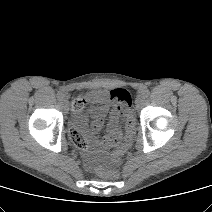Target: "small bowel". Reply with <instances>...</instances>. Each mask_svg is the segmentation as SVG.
I'll list each match as a JSON object with an SVG mask.
<instances>
[{"instance_id":"1","label":"small bowel","mask_w":212,"mask_h":212,"mask_svg":"<svg viewBox=\"0 0 212 212\" xmlns=\"http://www.w3.org/2000/svg\"><path fill=\"white\" fill-rule=\"evenodd\" d=\"M107 99L108 93L105 91H99L94 95V102L96 105L90 110V116L93 120L91 124V129L94 133H97L101 130L104 124V120L109 112ZM78 102L80 104V108H83L85 105V100H79ZM119 118L120 115L117 111H113L110 113L108 122V132L101 142V146L103 148H112L120 143L122 135L118 130ZM71 135H74L76 138L86 144L85 137L77 128L71 130Z\"/></svg>"}]
</instances>
